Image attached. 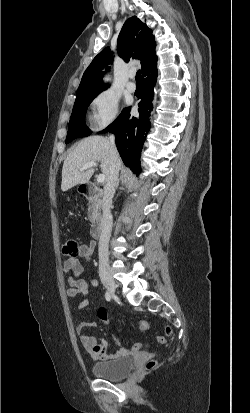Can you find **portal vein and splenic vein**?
<instances>
[{"label":"portal vein and splenic vein","mask_w":250,"mask_h":413,"mask_svg":"<svg viewBox=\"0 0 250 413\" xmlns=\"http://www.w3.org/2000/svg\"><path fill=\"white\" fill-rule=\"evenodd\" d=\"M91 167H97V164L95 162H88V163L84 164L81 167L80 170L83 171V170H86V169L91 168ZM104 181H105V175L104 174H99L97 176V182L103 183Z\"/></svg>","instance_id":"18ae733b"}]
</instances>
